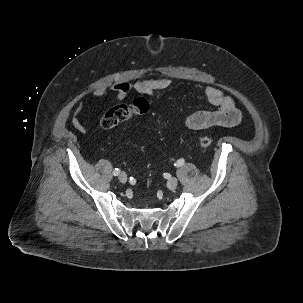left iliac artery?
Segmentation results:
<instances>
[{"mask_svg": "<svg viewBox=\"0 0 303 303\" xmlns=\"http://www.w3.org/2000/svg\"><path fill=\"white\" fill-rule=\"evenodd\" d=\"M185 160L183 158L179 159L176 161V163L174 164L176 167H180L182 165H184Z\"/></svg>", "mask_w": 303, "mask_h": 303, "instance_id": "44dca946", "label": "left iliac artery"}]
</instances>
